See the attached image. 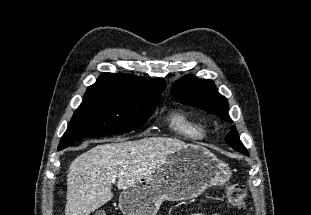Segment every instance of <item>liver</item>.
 <instances>
[{"instance_id":"obj_1","label":"liver","mask_w":311,"mask_h":215,"mask_svg":"<svg viewBox=\"0 0 311 215\" xmlns=\"http://www.w3.org/2000/svg\"><path fill=\"white\" fill-rule=\"evenodd\" d=\"M185 142L150 137L100 144L78 156L67 176L65 215H90L113 198L112 181L125 190L153 173Z\"/></svg>"}]
</instances>
